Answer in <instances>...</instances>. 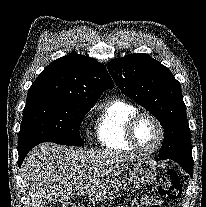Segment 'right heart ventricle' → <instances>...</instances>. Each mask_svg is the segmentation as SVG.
I'll list each match as a JSON object with an SVG mask.
<instances>
[{
    "label": "right heart ventricle",
    "instance_id": "1",
    "mask_svg": "<svg viewBox=\"0 0 206 207\" xmlns=\"http://www.w3.org/2000/svg\"><path fill=\"white\" fill-rule=\"evenodd\" d=\"M137 112V108L125 100L109 101L96 123V135L100 145L113 152H130L132 149L125 139V126Z\"/></svg>",
    "mask_w": 206,
    "mask_h": 207
}]
</instances>
